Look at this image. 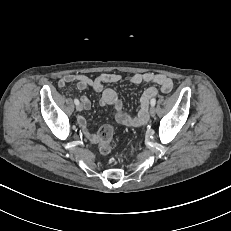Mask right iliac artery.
I'll list each match as a JSON object with an SVG mask.
<instances>
[{
    "label": "right iliac artery",
    "mask_w": 231,
    "mask_h": 231,
    "mask_svg": "<svg viewBox=\"0 0 231 231\" xmlns=\"http://www.w3.org/2000/svg\"><path fill=\"white\" fill-rule=\"evenodd\" d=\"M74 103H75L76 105H78V104H79V100H78V99H74Z\"/></svg>",
    "instance_id": "1"
}]
</instances>
